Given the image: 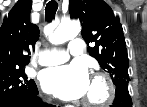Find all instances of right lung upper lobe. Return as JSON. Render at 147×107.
Segmentation results:
<instances>
[{
    "label": "right lung upper lobe",
    "mask_w": 147,
    "mask_h": 107,
    "mask_svg": "<svg viewBox=\"0 0 147 107\" xmlns=\"http://www.w3.org/2000/svg\"><path fill=\"white\" fill-rule=\"evenodd\" d=\"M32 0H19L0 28V72L27 65L39 28L30 22Z\"/></svg>",
    "instance_id": "1"
}]
</instances>
